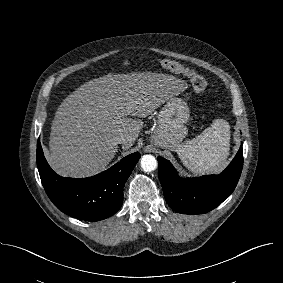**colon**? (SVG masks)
<instances>
[{
	"label": "colon",
	"mask_w": 283,
	"mask_h": 283,
	"mask_svg": "<svg viewBox=\"0 0 283 283\" xmlns=\"http://www.w3.org/2000/svg\"><path fill=\"white\" fill-rule=\"evenodd\" d=\"M159 63L165 69L178 74H182L183 76L188 78L195 92L203 94L207 91L208 83L206 79L203 76L197 74L194 70L189 69L183 66L181 63L171 59L163 58L159 60Z\"/></svg>",
	"instance_id": "1"
}]
</instances>
